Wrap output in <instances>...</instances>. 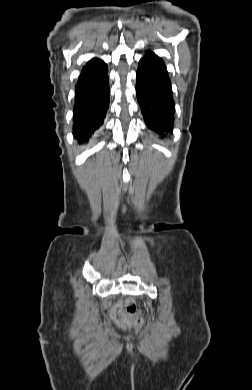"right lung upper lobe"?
<instances>
[{
    "mask_svg": "<svg viewBox=\"0 0 252 390\" xmlns=\"http://www.w3.org/2000/svg\"><path fill=\"white\" fill-rule=\"evenodd\" d=\"M105 66L106 64L103 61L94 58L91 61H89L85 67H83L81 74H93L100 71Z\"/></svg>",
    "mask_w": 252,
    "mask_h": 390,
    "instance_id": "cb5924a9",
    "label": "right lung upper lobe"
}]
</instances>
